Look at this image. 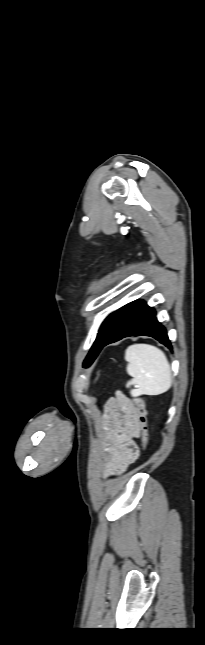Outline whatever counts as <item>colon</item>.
<instances>
[{
    "instance_id": "colon-1",
    "label": "colon",
    "mask_w": 205,
    "mask_h": 645,
    "mask_svg": "<svg viewBox=\"0 0 205 645\" xmlns=\"http://www.w3.org/2000/svg\"><path fill=\"white\" fill-rule=\"evenodd\" d=\"M132 402L137 416L143 449L146 450L149 443V432H148V425H147V418H146L147 416L146 405H145L144 399L140 396L134 397L132 399Z\"/></svg>"
}]
</instances>
